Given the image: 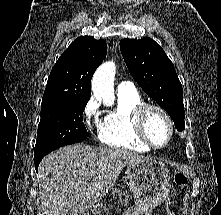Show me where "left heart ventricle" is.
<instances>
[{
	"label": "left heart ventricle",
	"mask_w": 221,
	"mask_h": 215,
	"mask_svg": "<svg viewBox=\"0 0 221 215\" xmlns=\"http://www.w3.org/2000/svg\"><path fill=\"white\" fill-rule=\"evenodd\" d=\"M146 132L157 146L164 145L169 138V126L164 117L157 111H150L146 119Z\"/></svg>",
	"instance_id": "obj_1"
}]
</instances>
